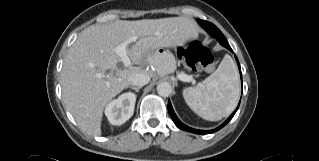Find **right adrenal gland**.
Returning a JSON list of instances; mask_svg holds the SVG:
<instances>
[{"instance_id": "2a0ac1e0", "label": "right adrenal gland", "mask_w": 319, "mask_h": 161, "mask_svg": "<svg viewBox=\"0 0 319 161\" xmlns=\"http://www.w3.org/2000/svg\"><path fill=\"white\" fill-rule=\"evenodd\" d=\"M129 88L132 89V90H135V92H139V89H140V87H129Z\"/></svg>"}]
</instances>
